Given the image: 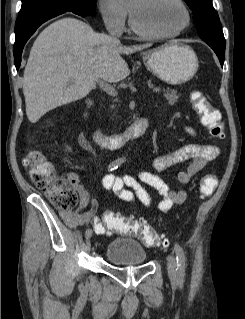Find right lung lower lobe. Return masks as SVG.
I'll list each match as a JSON object with an SVG mask.
<instances>
[{"label": "right lung lower lobe", "mask_w": 245, "mask_h": 319, "mask_svg": "<svg viewBox=\"0 0 245 319\" xmlns=\"http://www.w3.org/2000/svg\"><path fill=\"white\" fill-rule=\"evenodd\" d=\"M65 12H73L82 17L87 15L73 9L54 8L40 11L23 18H17L15 23V44L14 60L15 66L19 69L21 64V54L27 40L32 36L36 29L45 21Z\"/></svg>", "instance_id": "obj_1"}]
</instances>
